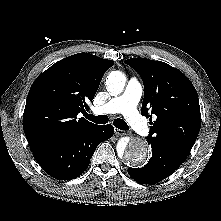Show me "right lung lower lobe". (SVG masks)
Returning <instances> with one entry per match:
<instances>
[{"label": "right lung lower lobe", "mask_w": 221, "mask_h": 221, "mask_svg": "<svg viewBox=\"0 0 221 221\" xmlns=\"http://www.w3.org/2000/svg\"><path fill=\"white\" fill-rule=\"evenodd\" d=\"M114 133L112 125H96L80 134L32 151L38 164L50 176L71 180L88 167L96 147Z\"/></svg>", "instance_id": "obj_1"}]
</instances>
